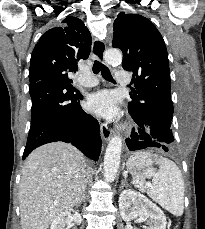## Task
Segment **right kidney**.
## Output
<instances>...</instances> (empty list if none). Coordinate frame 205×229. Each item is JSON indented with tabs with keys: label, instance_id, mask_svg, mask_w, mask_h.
<instances>
[{
	"label": "right kidney",
	"instance_id": "ca27d5eb",
	"mask_svg": "<svg viewBox=\"0 0 205 229\" xmlns=\"http://www.w3.org/2000/svg\"><path fill=\"white\" fill-rule=\"evenodd\" d=\"M72 219L70 211H64L53 220L50 229H67L65 227L71 224Z\"/></svg>",
	"mask_w": 205,
	"mask_h": 229
}]
</instances>
